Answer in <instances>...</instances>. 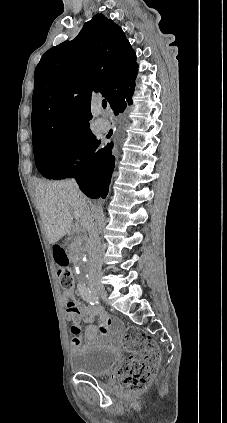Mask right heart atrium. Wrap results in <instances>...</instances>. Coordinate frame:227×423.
Listing matches in <instances>:
<instances>
[{"label": "right heart atrium", "mask_w": 227, "mask_h": 423, "mask_svg": "<svg viewBox=\"0 0 227 423\" xmlns=\"http://www.w3.org/2000/svg\"><path fill=\"white\" fill-rule=\"evenodd\" d=\"M79 155H80V152H79L78 145L73 144L68 150V158L70 160H75L79 157Z\"/></svg>", "instance_id": "1"}]
</instances>
